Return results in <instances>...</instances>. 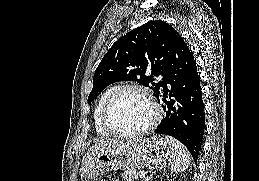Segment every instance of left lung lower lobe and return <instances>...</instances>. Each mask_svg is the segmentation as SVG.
<instances>
[{
    "instance_id": "1",
    "label": "left lung lower lobe",
    "mask_w": 259,
    "mask_h": 181,
    "mask_svg": "<svg viewBox=\"0 0 259 181\" xmlns=\"http://www.w3.org/2000/svg\"><path fill=\"white\" fill-rule=\"evenodd\" d=\"M157 99L163 103L166 116L155 133L178 139L197 161L205 129L204 103L196 62L181 36L174 42L170 65Z\"/></svg>"
}]
</instances>
